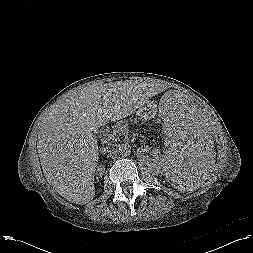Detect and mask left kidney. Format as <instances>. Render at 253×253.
<instances>
[{"mask_svg": "<svg viewBox=\"0 0 253 253\" xmlns=\"http://www.w3.org/2000/svg\"><path fill=\"white\" fill-rule=\"evenodd\" d=\"M179 189H184V187H183V183H180V185H179V187H178Z\"/></svg>", "mask_w": 253, "mask_h": 253, "instance_id": "1", "label": "left kidney"}]
</instances>
